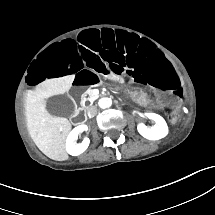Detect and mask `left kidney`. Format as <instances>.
Listing matches in <instances>:
<instances>
[{"label": "left kidney", "instance_id": "obj_1", "mask_svg": "<svg viewBox=\"0 0 215 215\" xmlns=\"http://www.w3.org/2000/svg\"><path fill=\"white\" fill-rule=\"evenodd\" d=\"M143 116L154 120L157 124L152 125V127L146 126L144 123L138 125V132L145 138L149 140H159L167 136L169 132V127L166 120L159 114L144 112Z\"/></svg>", "mask_w": 215, "mask_h": 215}]
</instances>
